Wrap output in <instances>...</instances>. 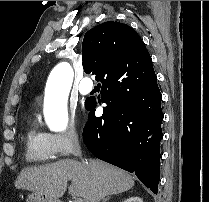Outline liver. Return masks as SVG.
<instances>
[{"label": "liver", "mask_w": 209, "mask_h": 202, "mask_svg": "<svg viewBox=\"0 0 209 202\" xmlns=\"http://www.w3.org/2000/svg\"><path fill=\"white\" fill-rule=\"evenodd\" d=\"M69 180L72 181L69 194L82 197L84 202H99L106 196L130 190L135 183L129 173L105 162L64 159L23 169L15 181V187L58 199L65 193Z\"/></svg>", "instance_id": "liver-1"}]
</instances>
